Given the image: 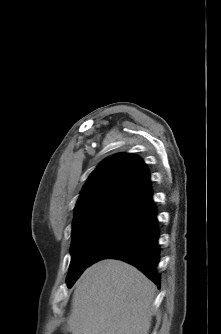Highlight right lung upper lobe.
Here are the masks:
<instances>
[{
  "instance_id": "obj_1",
  "label": "right lung upper lobe",
  "mask_w": 221,
  "mask_h": 334,
  "mask_svg": "<svg viewBox=\"0 0 221 334\" xmlns=\"http://www.w3.org/2000/svg\"><path fill=\"white\" fill-rule=\"evenodd\" d=\"M149 171L143 160L118 153L106 158L91 173L75 207L73 229L101 214L146 217L154 207ZM72 229V230H73Z\"/></svg>"
}]
</instances>
